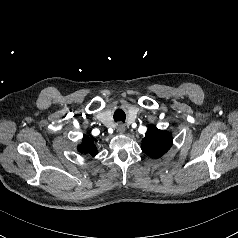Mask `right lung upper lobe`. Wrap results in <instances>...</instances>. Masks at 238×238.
I'll use <instances>...</instances> for the list:
<instances>
[{
  "label": "right lung upper lobe",
  "mask_w": 238,
  "mask_h": 238,
  "mask_svg": "<svg viewBox=\"0 0 238 238\" xmlns=\"http://www.w3.org/2000/svg\"><path fill=\"white\" fill-rule=\"evenodd\" d=\"M79 151L91 156H95L98 153V150L94 144V139H91L88 136H84L82 144L78 147Z\"/></svg>",
  "instance_id": "right-lung-upper-lobe-1"
}]
</instances>
